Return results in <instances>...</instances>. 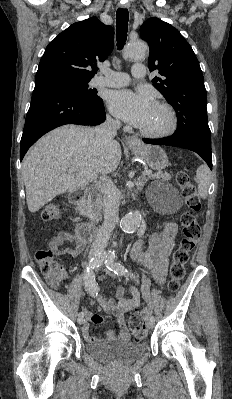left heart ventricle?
<instances>
[{
    "mask_svg": "<svg viewBox=\"0 0 232 399\" xmlns=\"http://www.w3.org/2000/svg\"><path fill=\"white\" fill-rule=\"evenodd\" d=\"M169 124V117L165 109L153 105L152 112L147 120L138 127V130L146 133H158L163 131Z\"/></svg>",
    "mask_w": 232,
    "mask_h": 399,
    "instance_id": "obj_1",
    "label": "left heart ventricle"
}]
</instances>
